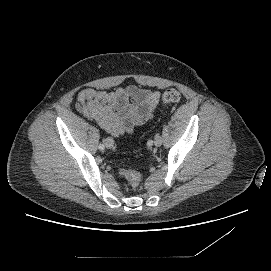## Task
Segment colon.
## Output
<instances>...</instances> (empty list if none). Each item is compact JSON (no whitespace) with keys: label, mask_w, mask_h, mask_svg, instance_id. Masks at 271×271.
<instances>
[{"label":"colon","mask_w":271,"mask_h":271,"mask_svg":"<svg viewBox=\"0 0 271 271\" xmlns=\"http://www.w3.org/2000/svg\"><path fill=\"white\" fill-rule=\"evenodd\" d=\"M180 93L175 89H169L164 92L162 101L164 103H176L180 100ZM120 176H122L131 186L132 189H137L142 181V176L139 172L134 170H119Z\"/></svg>","instance_id":"obj_1"}]
</instances>
